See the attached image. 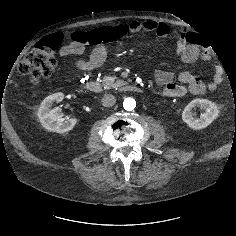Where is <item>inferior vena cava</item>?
<instances>
[{
    "instance_id": "inferior-vena-cava-1",
    "label": "inferior vena cava",
    "mask_w": 236,
    "mask_h": 236,
    "mask_svg": "<svg viewBox=\"0 0 236 236\" xmlns=\"http://www.w3.org/2000/svg\"><path fill=\"white\" fill-rule=\"evenodd\" d=\"M101 102H102L103 106L111 107V106H113L116 103V98L113 95H111V94H107V95L103 96Z\"/></svg>"
}]
</instances>
